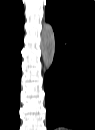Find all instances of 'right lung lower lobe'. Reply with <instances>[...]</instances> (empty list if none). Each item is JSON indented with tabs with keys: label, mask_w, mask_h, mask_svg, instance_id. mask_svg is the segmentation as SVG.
Instances as JSON below:
<instances>
[{
	"label": "right lung lower lobe",
	"mask_w": 95,
	"mask_h": 130,
	"mask_svg": "<svg viewBox=\"0 0 95 130\" xmlns=\"http://www.w3.org/2000/svg\"><path fill=\"white\" fill-rule=\"evenodd\" d=\"M24 29L0 38V115L2 129L18 130L21 49Z\"/></svg>",
	"instance_id": "98d812e1"
}]
</instances>
